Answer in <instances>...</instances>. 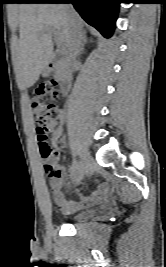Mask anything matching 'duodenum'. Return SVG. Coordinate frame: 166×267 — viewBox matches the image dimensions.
I'll return each mask as SVG.
<instances>
[{
    "instance_id": "obj_1",
    "label": "duodenum",
    "mask_w": 166,
    "mask_h": 267,
    "mask_svg": "<svg viewBox=\"0 0 166 267\" xmlns=\"http://www.w3.org/2000/svg\"><path fill=\"white\" fill-rule=\"evenodd\" d=\"M46 68L49 72L55 73L58 77L61 82V92L63 95H66L70 90L72 81L69 67L63 62L50 58L47 61Z\"/></svg>"
}]
</instances>
